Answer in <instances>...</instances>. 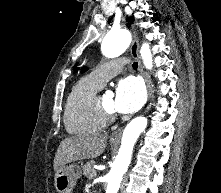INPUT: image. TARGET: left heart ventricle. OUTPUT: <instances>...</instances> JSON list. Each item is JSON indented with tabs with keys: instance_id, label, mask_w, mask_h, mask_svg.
<instances>
[{
	"instance_id": "b2bd125f",
	"label": "left heart ventricle",
	"mask_w": 221,
	"mask_h": 193,
	"mask_svg": "<svg viewBox=\"0 0 221 193\" xmlns=\"http://www.w3.org/2000/svg\"><path fill=\"white\" fill-rule=\"evenodd\" d=\"M101 102L108 110H114V97L112 94L103 93L101 95Z\"/></svg>"
}]
</instances>
